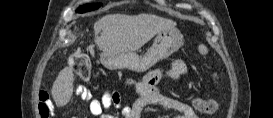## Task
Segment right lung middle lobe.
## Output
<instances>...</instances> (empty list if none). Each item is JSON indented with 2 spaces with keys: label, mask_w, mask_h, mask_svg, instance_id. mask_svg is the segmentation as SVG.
Segmentation results:
<instances>
[{
  "label": "right lung middle lobe",
  "mask_w": 273,
  "mask_h": 118,
  "mask_svg": "<svg viewBox=\"0 0 273 118\" xmlns=\"http://www.w3.org/2000/svg\"><path fill=\"white\" fill-rule=\"evenodd\" d=\"M101 5L100 4H85L83 6H80L76 12L78 13H84L88 11H92L95 9H98Z\"/></svg>",
  "instance_id": "dd1d6c3e"
}]
</instances>
